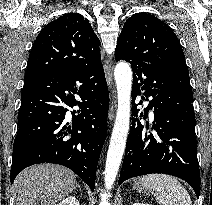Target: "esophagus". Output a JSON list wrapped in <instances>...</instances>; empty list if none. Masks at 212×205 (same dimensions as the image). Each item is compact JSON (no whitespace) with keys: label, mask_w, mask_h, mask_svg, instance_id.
<instances>
[{"label":"esophagus","mask_w":212,"mask_h":205,"mask_svg":"<svg viewBox=\"0 0 212 205\" xmlns=\"http://www.w3.org/2000/svg\"><path fill=\"white\" fill-rule=\"evenodd\" d=\"M115 107H116V100H115V97H113L112 104H111L110 109H109V115H108V118H109L110 121H112L113 118H114Z\"/></svg>","instance_id":"1"}]
</instances>
